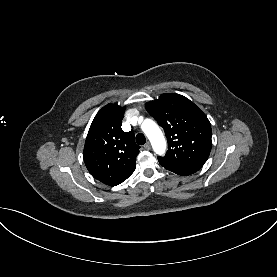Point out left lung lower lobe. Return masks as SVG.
Listing matches in <instances>:
<instances>
[{"mask_svg":"<svg viewBox=\"0 0 277 277\" xmlns=\"http://www.w3.org/2000/svg\"><path fill=\"white\" fill-rule=\"evenodd\" d=\"M170 171H172L178 175H183V176L190 175V174H193L196 172L193 170H182V169H176V170H170Z\"/></svg>","mask_w":277,"mask_h":277,"instance_id":"1","label":"left lung lower lobe"}]
</instances>
